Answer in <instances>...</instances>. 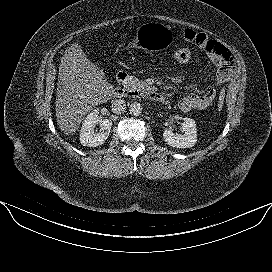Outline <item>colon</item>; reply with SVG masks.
Listing matches in <instances>:
<instances>
[{
	"label": "colon",
	"mask_w": 272,
	"mask_h": 272,
	"mask_svg": "<svg viewBox=\"0 0 272 272\" xmlns=\"http://www.w3.org/2000/svg\"><path fill=\"white\" fill-rule=\"evenodd\" d=\"M193 54L190 49L185 47L176 48L172 52V58L177 63L185 64L192 60ZM226 95V90L222 89L217 102V109L221 110L224 106V98Z\"/></svg>",
	"instance_id": "5ec220e1"
}]
</instances>
